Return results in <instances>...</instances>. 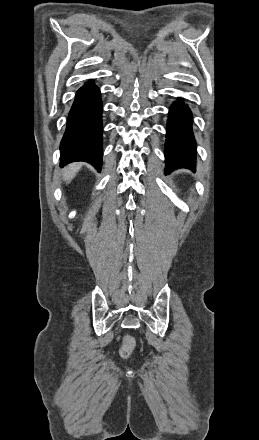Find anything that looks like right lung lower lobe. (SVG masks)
<instances>
[{
	"instance_id": "right-lung-lower-lobe-1",
	"label": "right lung lower lobe",
	"mask_w": 259,
	"mask_h": 440,
	"mask_svg": "<svg viewBox=\"0 0 259 440\" xmlns=\"http://www.w3.org/2000/svg\"><path fill=\"white\" fill-rule=\"evenodd\" d=\"M102 102L93 83L76 93L60 146V166L85 161L98 171L102 166Z\"/></svg>"
}]
</instances>
